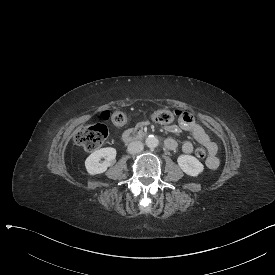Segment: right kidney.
Instances as JSON below:
<instances>
[{"label": "right kidney", "mask_w": 275, "mask_h": 275, "mask_svg": "<svg viewBox=\"0 0 275 275\" xmlns=\"http://www.w3.org/2000/svg\"><path fill=\"white\" fill-rule=\"evenodd\" d=\"M101 158H105V160L102 163L99 162ZM115 158V148L107 147L96 150L85 160L86 170L91 175L103 173L107 170L109 166L115 164Z\"/></svg>", "instance_id": "1"}]
</instances>
